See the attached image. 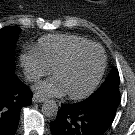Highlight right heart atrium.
Wrapping results in <instances>:
<instances>
[{
    "instance_id": "d8ad5b80",
    "label": "right heart atrium",
    "mask_w": 135,
    "mask_h": 135,
    "mask_svg": "<svg viewBox=\"0 0 135 135\" xmlns=\"http://www.w3.org/2000/svg\"><path fill=\"white\" fill-rule=\"evenodd\" d=\"M20 62L27 79L31 82L38 81L50 72V68L35 49L23 53Z\"/></svg>"
}]
</instances>
